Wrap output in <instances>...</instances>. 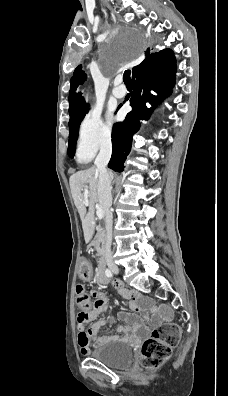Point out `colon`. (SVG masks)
<instances>
[{"label":"colon","instance_id":"obj_1","mask_svg":"<svg viewBox=\"0 0 228 396\" xmlns=\"http://www.w3.org/2000/svg\"><path fill=\"white\" fill-rule=\"evenodd\" d=\"M76 303L79 308L78 325L84 327L94 309V302L85 291L83 285L76 287ZM180 327L174 323L157 326L141 345L140 363L146 368L161 365L170 356L172 349L178 344Z\"/></svg>","mask_w":228,"mask_h":396}]
</instances>
